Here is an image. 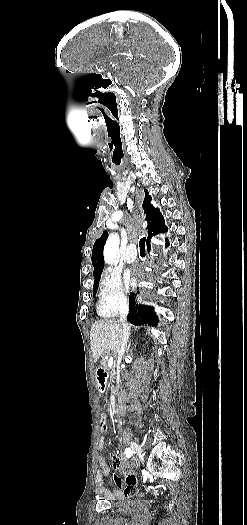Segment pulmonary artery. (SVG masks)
Listing matches in <instances>:
<instances>
[{
    "label": "pulmonary artery",
    "instance_id": "obj_1",
    "mask_svg": "<svg viewBox=\"0 0 247 525\" xmlns=\"http://www.w3.org/2000/svg\"><path fill=\"white\" fill-rule=\"evenodd\" d=\"M124 254H125L124 260H125L126 263L131 264V263L134 262V260H135V257H134L135 251H134L133 245H129L125 249Z\"/></svg>",
    "mask_w": 247,
    "mask_h": 525
}]
</instances>
